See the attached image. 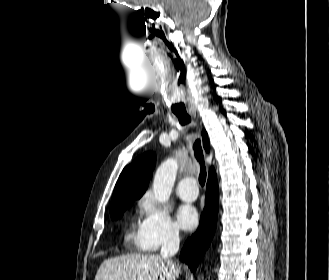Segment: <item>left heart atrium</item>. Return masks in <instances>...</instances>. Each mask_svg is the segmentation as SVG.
I'll return each mask as SVG.
<instances>
[{
    "label": "left heart atrium",
    "mask_w": 329,
    "mask_h": 280,
    "mask_svg": "<svg viewBox=\"0 0 329 280\" xmlns=\"http://www.w3.org/2000/svg\"><path fill=\"white\" fill-rule=\"evenodd\" d=\"M176 217L180 227L185 230H192L198 224V213L196 209L189 204L181 205L177 210Z\"/></svg>",
    "instance_id": "1"
}]
</instances>
